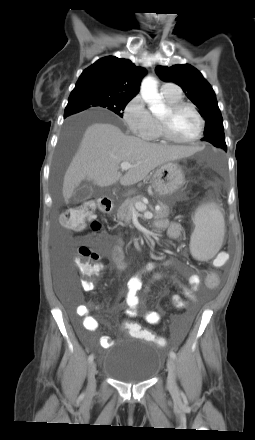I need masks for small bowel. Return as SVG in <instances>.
<instances>
[{
  "mask_svg": "<svg viewBox=\"0 0 255 440\" xmlns=\"http://www.w3.org/2000/svg\"><path fill=\"white\" fill-rule=\"evenodd\" d=\"M155 227L157 229H167L168 236L170 239L176 240L182 236L183 227L178 222L168 223L166 219H160L155 222ZM225 256L218 254L216 261L224 259ZM112 262L120 269L124 270L126 267L124 261V250L123 242L119 241L113 248L111 253ZM172 261H167L166 264H172ZM157 264H148L139 274L131 277L127 282V292L124 297V303L126 306L125 313L129 317H134L138 314L142 301L139 297V292L144 289V283L142 281V274L145 272L154 271ZM166 275L161 272H156L153 274L152 279L155 281L162 280ZM175 283L180 285L183 295L189 298L192 302L197 300L195 291L199 288L201 283V278L197 274H189L187 277V285H181L176 278L172 277ZM206 285L208 288H216L219 285L218 276L214 272L208 274L206 278ZM83 289L85 291H90L93 289L92 285L83 284ZM174 298H181L178 295L172 296V301ZM174 304V303H173ZM91 309L87 305H79L75 309V315L81 317L82 321L80 325H77L80 335L86 344H91V340L85 335L84 332H94L99 329L98 319L90 314ZM144 319L149 324H158L161 320V313L159 311H146L143 314ZM114 341L109 336H103L100 339V346L104 349L109 348L113 345Z\"/></svg>",
  "mask_w": 255,
  "mask_h": 440,
  "instance_id": "c3829d8e",
  "label": "small bowel"
}]
</instances>
